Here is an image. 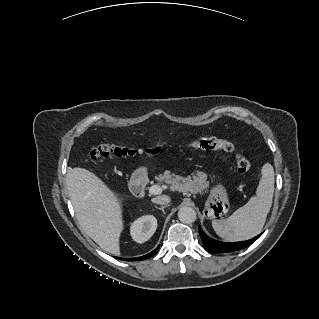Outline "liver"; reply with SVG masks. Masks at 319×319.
Here are the masks:
<instances>
[{"label":"liver","instance_id":"1","mask_svg":"<svg viewBox=\"0 0 319 319\" xmlns=\"http://www.w3.org/2000/svg\"><path fill=\"white\" fill-rule=\"evenodd\" d=\"M67 189L84 232L102 250L120 254L122 205L116 193L92 172L74 168L67 174Z\"/></svg>","mask_w":319,"mask_h":319}]
</instances>
